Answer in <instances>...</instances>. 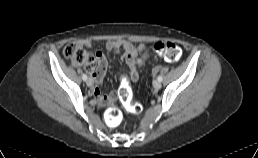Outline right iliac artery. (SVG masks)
<instances>
[{
    "label": "right iliac artery",
    "mask_w": 258,
    "mask_h": 158,
    "mask_svg": "<svg viewBox=\"0 0 258 158\" xmlns=\"http://www.w3.org/2000/svg\"><path fill=\"white\" fill-rule=\"evenodd\" d=\"M82 79H83L84 81H86V80H87V75H86V74H83V75H82Z\"/></svg>",
    "instance_id": "obj_1"
}]
</instances>
